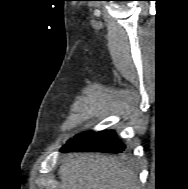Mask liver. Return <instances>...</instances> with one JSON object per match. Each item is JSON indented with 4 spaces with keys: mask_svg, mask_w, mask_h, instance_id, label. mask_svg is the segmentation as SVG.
Returning a JSON list of instances; mask_svg holds the SVG:
<instances>
[{
    "mask_svg": "<svg viewBox=\"0 0 188 189\" xmlns=\"http://www.w3.org/2000/svg\"><path fill=\"white\" fill-rule=\"evenodd\" d=\"M59 189H140L137 176L114 158L69 154L58 170Z\"/></svg>",
    "mask_w": 188,
    "mask_h": 189,
    "instance_id": "liver-1",
    "label": "liver"
}]
</instances>
